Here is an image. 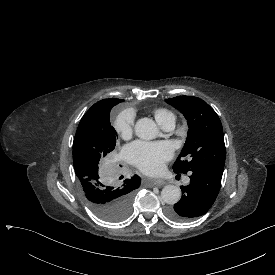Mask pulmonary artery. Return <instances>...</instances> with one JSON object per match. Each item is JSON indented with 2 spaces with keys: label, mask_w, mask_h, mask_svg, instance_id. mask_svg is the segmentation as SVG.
<instances>
[{
  "label": "pulmonary artery",
  "mask_w": 275,
  "mask_h": 275,
  "mask_svg": "<svg viewBox=\"0 0 275 275\" xmlns=\"http://www.w3.org/2000/svg\"><path fill=\"white\" fill-rule=\"evenodd\" d=\"M175 126V120L174 119H170L166 122H163L160 124V127L165 130V131H171ZM190 179L188 176L183 178V182L184 183H189Z\"/></svg>",
  "instance_id": "pulmonary-artery-1"
}]
</instances>
